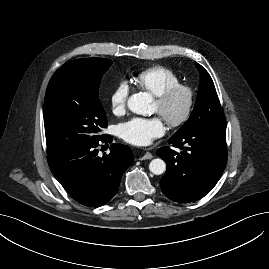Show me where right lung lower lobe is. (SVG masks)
Returning <instances> with one entry per match:
<instances>
[{"label": "right lung lower lobe", "mask_w": 269, "mask_h": 269, "mask_svg": "<svg viewBox=\"0 0 269 269\" xmlns=\"http://www.w3.org/2000/svg\"><path fill=\"white\" fill-rule=\"evenodd\" d=\"M109 135L79 148L48 155L49 167L68 194L80 204L98 207L117 193L121 177L133 162L129 146L112 144L110 153L98 156L100 142Z\"/></svg>", "instance_id": "right-lung-lower-lobe-1"}]
</instances>
